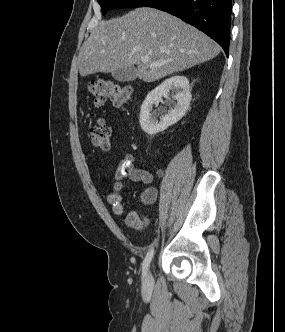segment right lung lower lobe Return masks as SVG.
Returning <instances> with one entry per match:
<instances>
[{"mask_svg": "<svg viewBox=\"0 0 285 332\" xmlns=\"http://www.w3.org/2000/svg\"><path fill=\"white\" fill-rule=\"evenodd\" d=\"M143 6L166 11L215 40L228 57L231 0H148Z\"/></svg>", "mask_w": 285, "mask_h": 332, "instance_id": "1", "label": "right lung lower lobe"}]
</instances>
